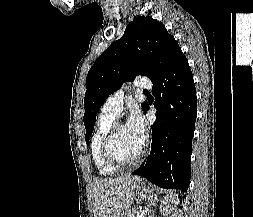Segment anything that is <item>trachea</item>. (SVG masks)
<instances>
[{"label": "trachea", "instance_id": "1", "mask_svg": "<svg viewBox=\"0 0 253 217\" xmlns=\"http://www.w3.org/2000/svg\"><path fill=\"white\" fill-rule=\"evenodd\" d=\"M144 93H148V91H147V90H144Z\"/></svg>", "mask_w": 253, "mask_h": 217}]
</instances>
